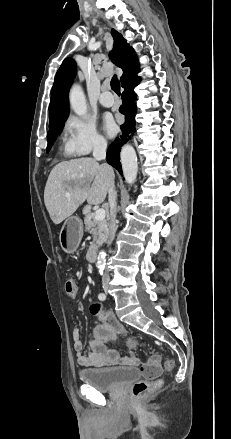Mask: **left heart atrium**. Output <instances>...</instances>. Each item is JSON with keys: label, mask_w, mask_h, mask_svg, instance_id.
I'll list each match as a JSON object with an SVG mask.
<instances>
[{"label": "left heart atrium", "mask_w": 231, "mask_h": 439, "mask_svg": "<svg viewBox=\"0 0 231 439\" xmlns=\"http://www.w3.org/2000/svg\"><path fill=\"white\" fill-rule=\"evenodd\" d=\"M103 128L108 136H113L117 131V126L111 117H105L103 120Z\"/></svg>", "instance_id": "left-heart-atrium-1"}]
</instances>
